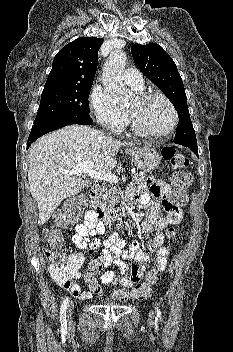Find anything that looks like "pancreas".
Instances as JSON below:
<instances>
[{
    "label": "pancreas",
    "instance_id": "cf45deb5",
    "mask_svg": "<svg viewBox=\"0 0 233 352\" xmlns=\"http://www.w3.org/2000/svg\"><path fill=\"white\" fill-rule=\"evenodd\" d=\"M146 175L143 173L132 175V181L136 183H141L145 181ZM117 188L113 183L107 185L101 189L99 194L95 199V205L102 208L107 209L114 206L115 202L118 200Z\"/></svg>",
    "mask_w": 233,
    "mask_h": 352
}]
</instances>
